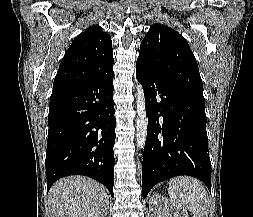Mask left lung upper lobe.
I'll return each instance as SVG.
<instances>
[{"mask_svg":"<svg viewBox=\"0 0 253 217\" xmlns=\"http://www.w3.org/2000/svg\"><path fill=\"white\" fill-rule=\"evenodd\" d=\"M137 61L159 78L203 96L196 59L186 39L170 27L151 26L141 42Z\"/></svg>","mask_w":253,"mask_h":217,"instance_id":"left-lung-upper-lobe-1","label":"left lung upper lobe"}]
</instances>
